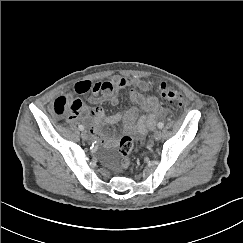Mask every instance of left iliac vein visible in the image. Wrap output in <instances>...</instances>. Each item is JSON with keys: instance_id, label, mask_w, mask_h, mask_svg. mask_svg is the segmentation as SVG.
<instances>
[{"instance_id": "left-iliac-vein-1", "label": "left iliac vein", "mask_w": 243, "mask_h": 243, "mask_svg": "<svg viewBox=\"0 0 243 243\" xmlns=\"http://www.w3.org/2000/svg\"><path fill=\"white\" fill-rule=\"evenodd\" d=\"M161 138V132L160 131H156L153 135V140L154 141H159Z\"/></svg>"}]
</instances>
